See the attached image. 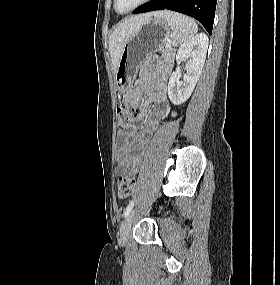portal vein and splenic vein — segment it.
Wrapping results in <instances>:
<instances>
[{
	"label": "portal vein and splenic vein",
	"instance_id": "18ae733b",
	"mask_svg": "<svg viewBox=\"0 0 280 285\" xmlns=\"http://www.w3.org/2000/svg\"><path fill=\"white\" fill-rule=\"evenodd\" d=\"M171 45H172V41H171V40H167L166 46H167V47H171Z\"/></svg>",
	"mask_w": 280,
	"mask_h": 285
}]
</instances>
